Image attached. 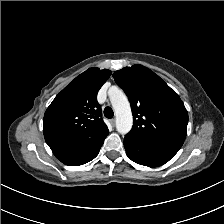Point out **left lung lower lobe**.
I'll use <instances>...</instances> for the list:
<instances>
[{
    "label": "left lung lower lobe",
    "mask_w": 224,
    "mask_h": 224,
    "mask_svg": "<svg viewBox=\"0 0 224 224\" xmlns=\"http://www.w3.org/2000/svg\"><path fill=\"white\" fill-rule=\"evenodd\" d=\"M127 156L134 162L157 167L168 162L179 149L162 143L140 139L127 134L124 138Z\"/></svg>",
    "instance_id": "0a47b994"
}]
</instances>
